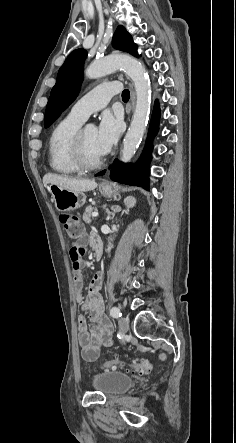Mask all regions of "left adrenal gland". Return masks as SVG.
<instances>
[{"label": "left adrenal gland", "instance_id": "1", "mask_svg": "<svg viewBox=\"0 0 236 443\" xmlns=\"http://www.w3.org/2000/svg\"><path fill=\"white\" fill-rule=\"evenodd\" d=\"M125 204L127 208H132L135 205V201H127ZM112 218H114V214L112 215Z\"/></svg>", "mask_w": 236, "mask_h": 443}]
</instances>
